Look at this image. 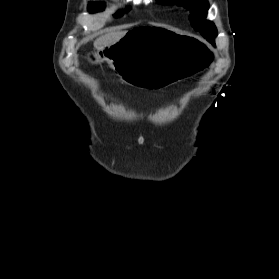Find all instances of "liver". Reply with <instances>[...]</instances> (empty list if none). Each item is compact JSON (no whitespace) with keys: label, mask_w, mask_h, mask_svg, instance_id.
I'll return each instance as SVG.
<instances>
[{"label":"liver","mask_w":279,"mask_h":279,"mask_svg":"<svg viewBox=\"0 0 279 279\" xmlns=\"http://www.w3.org/2000/svg\"><path fill=\"white\" fill-rule=\"evenodd\" d=\"M125 34L126 32L124 31H117L102 35L94 41V47L96 49H102L112 46L116 44Z\"/></svg>","instance_id":"obj_1"}]
</instances>
